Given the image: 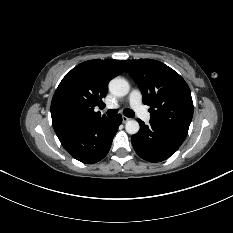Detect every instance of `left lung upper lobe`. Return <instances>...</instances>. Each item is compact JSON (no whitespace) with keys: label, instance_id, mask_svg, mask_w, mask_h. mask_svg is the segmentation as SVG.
Returning a JSON list of instances; mask_svg holds the SVG:
<instances>
[{"label":"left lung upper lobe","instance_id":"1","mask_svg":"<svg viewBox=\"0 0 233 233\" xmlns=\"http://www.w3.org/2000/svg\"><path fill=\"white\" fill-rule=\"evenodd\" d=\"M122 63L138 84L144 104L150 106L151 120L188 132L193 101L185 80L157 60H123Z\"/></svg>","mask_w":233,"mask_h":233}]
</instances>
